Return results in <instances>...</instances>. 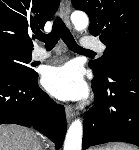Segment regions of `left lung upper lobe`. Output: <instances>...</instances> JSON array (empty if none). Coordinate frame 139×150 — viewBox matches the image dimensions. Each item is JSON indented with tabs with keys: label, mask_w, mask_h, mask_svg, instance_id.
I'll use <instances>...</instances> for the list:
<instances>
[{
	"label": "left lung upper lobe",
	"mask_w": 139,
	"mask_h": 150,
	"mask_svg": "<svg viewBox=\"0 0 139 150\" xmlns=\"http://www.w3.org/2000/svg\"><path fill=\"white\" fill-rule=\"evenodd\" d=\"M90 18L89 32L106 45L104 55L89 63L106 77L114 60L139 46V0H72Z\"/></svg>",
	"instance_id": "obj_1"
}]
</instances>
